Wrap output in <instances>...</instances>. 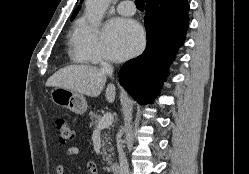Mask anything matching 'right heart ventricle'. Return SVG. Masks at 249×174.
Returning a JSON list of instances; mask_svg holds the SVG:
<instances>
[{"label": "right heart ventricle", "mask_w": 249, "mask_h": 174, "mask_svg": "<svg viewBox=\"0 0 249 174\" xmlns=\"http://www.w3.org/2000/svg\"><path fill=\"white\" fill-rule=\"evenodd\" d=\"M80 27H81V24L79 22H76L74 24L71 32H70V41H71V44H72V49L70 51V54H71V57L73 58L74 61L79 62V63H86L77 56V54L75 52V47H74V43H75L77 34H78L79 30H80Z\"/></svg>", "instance_id": "e07e8e85"}]
</instances>
